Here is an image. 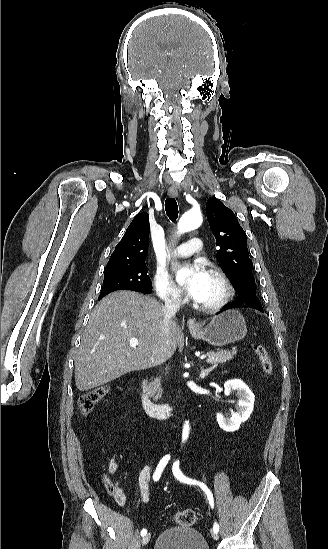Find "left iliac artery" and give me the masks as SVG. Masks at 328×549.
I'll use <instances>...</instances> for the list:
<instances>
[{
  "label": "left iliac artery",
  "mask_w": 328,
  "mask_h": 549,
  "mask_svg": "<svg viewBox=\"0 0 328 549\" xmlns=\"http://www.w3.org/2000/svg\"><path fill=\"white\" fill-rule=\"evenodd\" d=\"M172 471H173V474L174 476L180 480L181 482H184V483H187V484H193V485H199L202 490L207 494V497H208V500H209V503L211 505V507L213 508L214 506V500H213V495L212 493L210 492V490L207 488V486L202 482H199V481H196V480H192L190 478H187L186 476H184L179 468V460L175 461L173 463V468H172ZM213 530L214 532H218L219 531V525L217 523H214V526H213Z\"/></svg>",
  "instance_id": "44dca946"
}]
</instances>
